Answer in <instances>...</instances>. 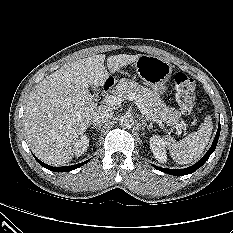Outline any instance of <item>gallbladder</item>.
Returning <instances> with one entry per match:
<instances>
[{
    "label": "gallbladder",
    "mask_w": 233,
    "mask_h": 233,
    "mask_svg": "<svg viewBox=\"0 0 233 233\" xmlns=\"http://www.w3.org/2000/svg\"><path fill=\"white\" fill-rule=\"evenodd\" d=\"M91 89H92L94 92H97V90H98L94 85H91Z\"/></svg>",
    "instance_id": "1"
}]
</instances>
